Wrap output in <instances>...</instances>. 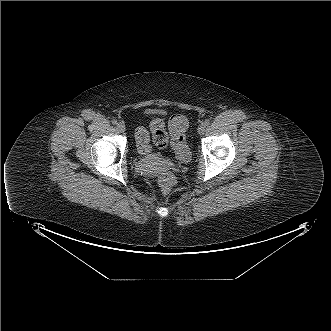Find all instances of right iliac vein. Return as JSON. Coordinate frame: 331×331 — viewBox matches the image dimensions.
Returning <instances> with one entry per match:
<instances>
[{
  "label": "right iliac vein",
  "instance_id": "63e3f726",
  "mask_svg": "<svg viewBox=\"0 0 331 331\" xmlns=\"http://www.w3.org/2000/svg\"><path fill=\"white\" fill-rule=\"evenodd\" d=\"M117 130L121 133L124 132L126 130L124 123L122 122L117 123Z\"/></svg>",
  "mask_w": 331,
  "mask_h": 331
}]
</instances>
